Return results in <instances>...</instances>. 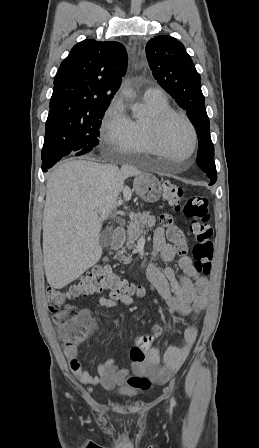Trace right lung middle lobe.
Returning <instances> with one entry per match:
<instances>
[{"label":"right lung middle lobe","instance_id":"1","mask_svg":"<svg viewBox=\"0 0 259 448\" xmlns=\"http://www.w3.org/2000/svg\"><path fill=\"white\" fill-rule=\"evenodd\" d=\"M107 108L95 107L78 113H49L42 161L90 152L98 145L101 119Z\"/></svg>","mask_w":259,"mask_h":448}]
</instances>
